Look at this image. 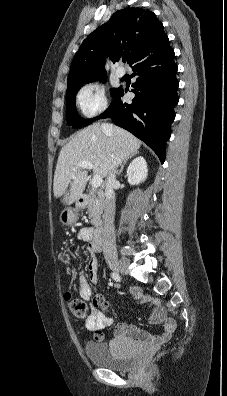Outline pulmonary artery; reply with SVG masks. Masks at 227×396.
I'll use <instances>...</instances> for the list:
<instances>
[{"instance_id":"1","label":"pulmonary artery","mask_w":227,"mask_h":396,"mask_svg":"<svg viewBox=\"0 0 227 396\" xmlns=\"http://www.w3.org/2000/svg\"><path fill=\"white\" fill-rule=\"evenodd\" d=\"M126 71L122 66H118L115 70V74L117 77H123L125 75Z\"/></svg>"}]
</instances>
